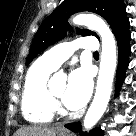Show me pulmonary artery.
<instances>
[{
  "instance_id": "obj_1",
  "label": "pulmonary artery",
  "mask_w": 136,
  "mask_h": 136,
  "mask_svg": "<svg viewBox=\"0 0 136 136\" xmlns=\"http://www.w3.org/2000/svg\"><path fill=\"white\" fill-rule=\"evenodd\" d=\"M79 48L95 52L98 50L99 44L97 39L91 36L79 38L72 42H64L47 50L40 57V60L55 70Z\"/></svg>"
}]
</instances>
